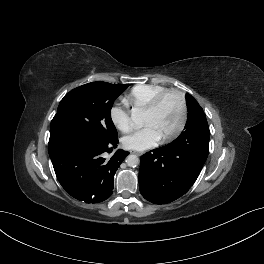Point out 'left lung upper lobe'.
<instances>
[{"label":"left lung upper lobe","mask_w":264,"mask_h":264,"mask_svg":"<svg viewBox=\"0 0 264 264\" xmlns=\"http://www.w3.org/2000/svg\"><path fill=\"white\" fill-rule=\"evenodd\" d=\"M186 103H187V111L188 117L185 125V131L180 134V136L175 139L173 142H176L180 139L181 135L186 134V131L196 132L199 128H203L204 126H208L205 113L203 112L202 107L198 104V102L190 95L186 94Z\"/></svg>","instance_id":"obj_1"}]
</instances>
